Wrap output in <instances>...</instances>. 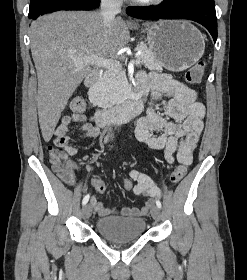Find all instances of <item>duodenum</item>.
<instances>
[{
	"mask_svg": "<svg viewBox=\"0 0 247 280\" xmlns=\"http://www.w3.org/2000/svg\"><path fill=\"white\" fill-rule=\"evenodd\" d=\"M98 78L99 74L97 72L90 74L86 80V85L90 88L94 87ZM142 108V93L135 91L129 95L125 102L116 107L98 109L94 117L99 126H105L112 122H127L140 113Z\"/></svg>",
	"mask_w": 247,
	"mask_h": 280,
	"instance_id": "410a0bca",
	"label": "duodenum"
}]
</instances>
